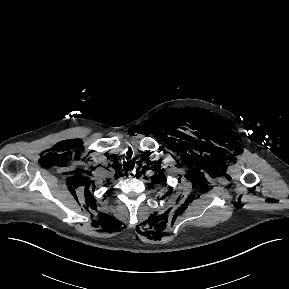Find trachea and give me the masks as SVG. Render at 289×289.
<instances>
[{
    "mask_svg": "<svg viewBox=\"0 0 289 289\" xmlns=\"http://www.w3.org/2000/svg\"><path fill=\"white\" fill-rule=\"evenodd\" d=\"M131 158V154L128 152V159ZM134 168V162H127L126 166H125V171H130Z\"/></svg>",
    "mask_w": 289,
    "mask_h": 289,
    "instance_id": "trachea-1",
    "label": "trachea"
}]
</instances>
